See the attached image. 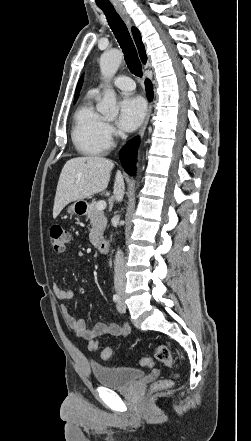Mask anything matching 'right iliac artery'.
Returning <instances> with one entry per match:
<instances>
[{"instance_id":"right-iliac-artery-1","label":"right iliac artery","mask_w":251,"mask_h":441,"mask_svg":"<svg viewBox=\"0 0 251 441\" xmlns=\"http://www.w3.org/2000/svg\"><path fill=\"white\" fill-rule=\"evenodd\" d=\"M113 301L114 302H118L119 301V295L118 294H114L113 295Z\"/></svg>"}]
</instances>
